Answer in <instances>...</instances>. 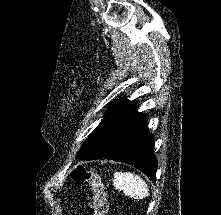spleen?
Listing matches in <instances>:
<instances>
[{"instance_id": "spleen-1", "label": "spleen", "mask_w": 221, "mask_h": 215, "mask_svg": "<svg viewBox=\"0 0 221 215\" xmlns=\"http://www.w3.org/2000/svg\"><path fill=\"white\" fill-rule=\"evenodd\" d=\"M114 185L123 190L125 195L136 199H143L149 195V189L145 181L131 172H115Z\"/></svg>"}]
</instances>
